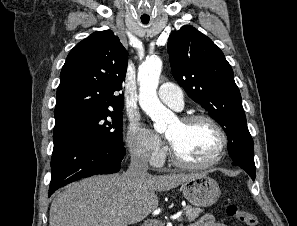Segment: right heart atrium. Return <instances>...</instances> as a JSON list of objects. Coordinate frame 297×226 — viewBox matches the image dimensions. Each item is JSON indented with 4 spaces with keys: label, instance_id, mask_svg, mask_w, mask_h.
Wrapping results in <instances>:
<instances>
[{
    "label": "right heart atrium",
    "instance_id": "right-heart-atrium-1",
    "mask_svg": "<svg viewBox=\"0 0 297 226\" xmlns=\"http://www.w3.org/2000/svg\"><path fill=\"white\" fill-rule=\"evenodd\" d=\"M126 143L131 157L142 164L158 165L164 156V149L159 139L138 121L131 122Z\"/></svg>",
    "mask_w": 297,
    "mask_h": 226
}]
</instances>
